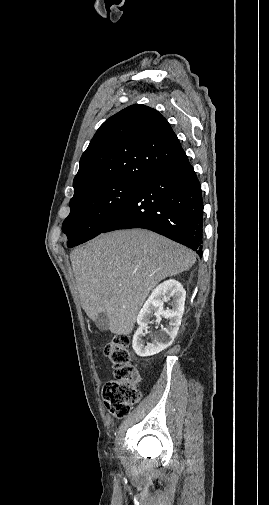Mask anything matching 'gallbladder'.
I'll list each match as a JSON object with an SVG mask.
<instances>
[{"label": "gallbladder", "mask_w": 269, "mask_h": 505, "mask_svg": "<svg viewBox=\"0 0 269 505\" xmlns=\"http://www.w3.org/2000/svg\"><path fill=\"white\" fill-rule=\"evenodd\" d=\"M95 324L101 331L108 330V317L105 313H99L95 320Z\"/></svg>", "instance_id": "obj_1"}]
</instances>
